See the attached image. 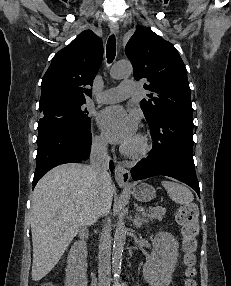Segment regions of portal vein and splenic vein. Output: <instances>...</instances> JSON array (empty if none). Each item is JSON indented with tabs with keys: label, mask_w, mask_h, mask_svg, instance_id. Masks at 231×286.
I'll use <instances>...</instances> for the list:
<instances>
[{
	"label": "portal vein and splenic vein",
	"mask_w": 231,
	"mask_h": 286,
	"mask_svg": "<svg viewBox=\"0 0 231 286\" xmlns=\"http://www.w3.org/2000/svg\"><path fill=\"white\" fill-rule=\"evenodd\" d=\"M138 212H144L145 211V209L143 208V207H137V209H136Z\"/></svg>",
	"instance_id": "1"
}]
</instances>
